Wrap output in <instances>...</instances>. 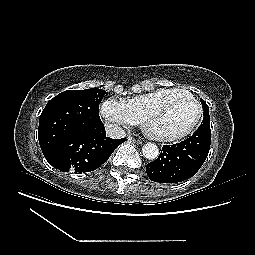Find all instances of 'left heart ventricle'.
<instances>
[{
    "label": "left heart ventricle",
    "instance_id": "obj_1",
    "mask_svg": "<svg viewBox=\"0 0 255 255\" xmlns=\"http://www.w3.org/2000/svg\"><path fill=\"white\" fill-rule=\"evenodd\" d=\"M196 115L194 103L184 97H175L149 119L146 128L155 134H178L193 123Z\"/></svg>",
    "mask_w": 255,
    "mask_h": 255
}]
</instances>
